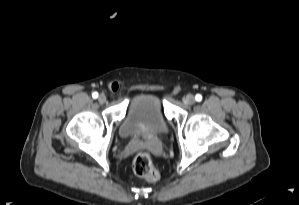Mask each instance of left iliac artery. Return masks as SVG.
Returning a JSON list of instances; mask_svg holds the SVG:
<instances>
[{
	"label": "left iliac artery",
	"mask_w": 299,
	"mask_h": 205,
	"mask_svg": "<svg viewBox=\"0 0 299 205\" xmlns=\"http://www.w3.org/2000/svg\"><path fill=\"white\" fill-rule=\"evenodd\" d=\"M196 101L200 102L202 100V96L200 94H197L195 96Z\"/></svg>",
	"instance_id": "obj_1"
}]
</instances>
